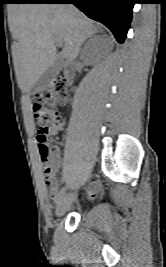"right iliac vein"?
<instances>
[{
	"label": "right iliac vein",
	"instance_id": "63e3f726",
	"mask_svg": "<svg viewBox=\"0 0 166 267\" xmlns=\"http://www.w3.org/2000/svg\"><path fill=\"white\" fill-rule=\"evenodd\" d=\"M76 191L71 192L67 194L65 197L62 198V200L57 204L55 214L57 217H60L65 214V212L68 210L69 206L71 203L75 200L76 198Z\"/></svg>",
	"mask_w": 166,
	"mask_h": 267
}]
</instances>
